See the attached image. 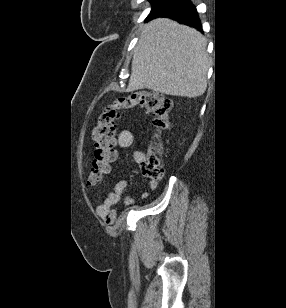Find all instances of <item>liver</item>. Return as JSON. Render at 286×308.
<instances>
[{
	"instance_id": "liver-1",
	"label": "liver",
	"mask_w": 286,
	"mask_h": 308,
	"mask_svg": "<svg viewBox=\"0 0 286 308\" xmlns=\"http://www.w3.org/2000/svg\"><path fill=\"white\" fill-rule=\"evenodd\" d=\"M207 41L196 29L158 18L142 27L127 91L195 98L207 88Z\"/></svg>"
}]
</instances>
